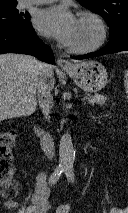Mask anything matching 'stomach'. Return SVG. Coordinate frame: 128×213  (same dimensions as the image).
Wrapping results in <instances>:
<instances>
[{"label": "stomach", "instance_id": "1", "mask_svg": "<svg viewBox=\"0 0 128 213\" xmlns=\"http://www.w3.org/2000/svg\"><path fill=\"white\" fill-rule=\"evenodd\" d=\"M75 83L87 92H97L107 83L106 68L97 61H83L76 63L72 69L66 70Z\"/></svg>", "mask_w": 128, "mask_h": 213}]
</instances>
